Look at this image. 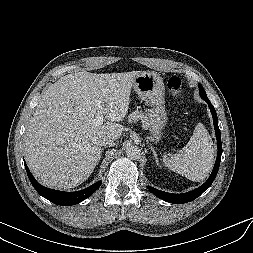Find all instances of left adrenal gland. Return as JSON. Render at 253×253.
I'll list each match as a JSON object with an SVG mask.
<instances>
[{
	"mask_svg": "<svg viewBox=\"0 0 253 253\" xmlns=\"http://www.w3.org/2000/svg\"><path fill=\"white\" fill-rule=\"evenodd\" d=\"M150 149H151V151H152V153H153V155H154V159H155L156 164H157L158 166H160V165H159V160H158V157H157V154H156L154 148H153V147H150ZM160 167H161V166H160Z\"/></svg>",
	"mask_w": 253,
	"mask_h": 253,
	"instance_id": "obj_1",
	"label": "left adrenal gland"
}]
</instances>
